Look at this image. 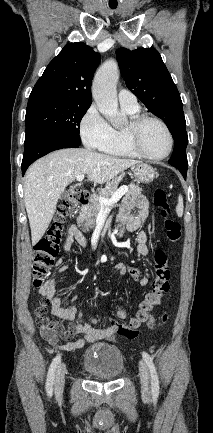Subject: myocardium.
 I'll list each match as a JSON object with an SVG mask.
<instances>
[{"instance_id":"1","label":"myocardium","mask_w":213,"mask_h":433,"mask_svg":"<svg viewBox=\"0 0 213 433\" xmlns=\"http://www.w3.org/2000/svg\"><path fill=\"white\" fill-rule=\"evenodd\" d=\"M153 121L158 123L166 132L169 140V147L165 154L160 156H155L147 153L141 146L140 143V131L143 125L146 122ZM124 134L129 147L138 155L143 158L151 159V160H163L166 159L173 151L174 147V137L173 134L168 127V125L160 118L147 115V114H138L130 119L128 124L124 128Z\"/></svg>"}]
</instances>
